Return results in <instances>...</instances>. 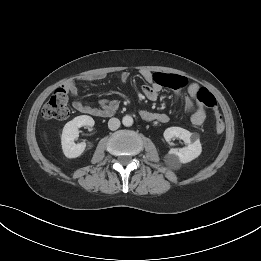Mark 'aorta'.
Listing matches in <instances>:
<instances>
[{"label": "aorta", "instance_id": "aorta-1", "mask_svg": "<svg viewBox=\"0 0 261 261\" xmlns=\"http://www.w3.org/2000/svg\"><path fill=\"white\" fill-rule=\"evenodd\" d=\"M122 123L126 127H130L133 124V118L129 115H126L122 118Z\"/></svg>", "mask_w": 261, "mask_h": 261}]
</instances>
